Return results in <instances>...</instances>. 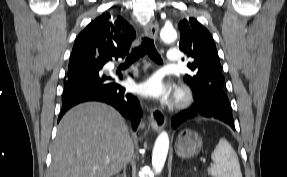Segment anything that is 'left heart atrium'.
<instances>
[{
  "label": "left heart atrium",
  "instance_id": "1",
  "mask_svg": "<svg viewBox=\"0 0 287 177\" xmlns=\"http://www.w3.org/2000/svg\"><path fill=\"white\" fill-rule=\"evenodd\" d=\"M138 91L147 97L164 98L168 95L170 87L160 74L155 73L138 86Z\"/></svg>",
  "mask_w": 287,
  "mask_h": 177
}]
</instances>
